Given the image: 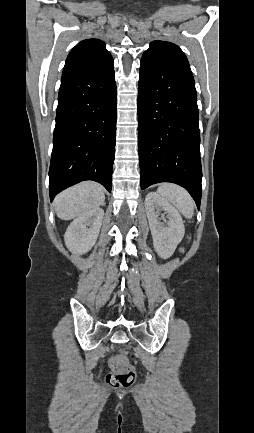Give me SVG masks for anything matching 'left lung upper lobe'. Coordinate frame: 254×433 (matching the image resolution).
<instances>
[{
    "instance_id": "1",
    "label": "left lung upper lobe",
    "mask_w": 254,
    "mask_h": 433,
    "mask_svg": "<svg viewBox=\"0 0 254 433\" xmlns=\"http://www.w3.org/2000/svg\"><path fill=\"white\" fill-rule=\"evenodd\" d=\"M142 57H150L191 73L188 60L183 51L174 43L153 41Z\"/></svg>"
}]
</instances>
